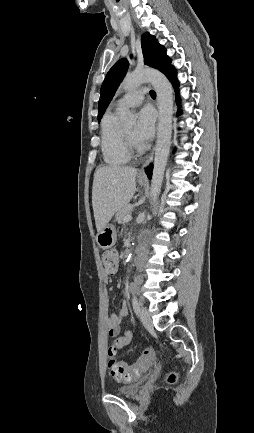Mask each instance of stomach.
Wrapping results in <instances>:
<instances>
[{"label": "stomach", "instance_id": "1", "mask_svg": "<svg viewBox=\"0 0 254 433\" xmlns=\"http://www.w3.org/2000/svg\"><path fill=\"white\" fill-rule=\"evenodd\" d=\"M140 185H145V181L139 179ZM116 229L114 225L107 224L100 232H98L96 241L100 248L108 249L116 242Z\"/></svg>", "mask_w": 254, "mask_h": 433}]
</instances>
